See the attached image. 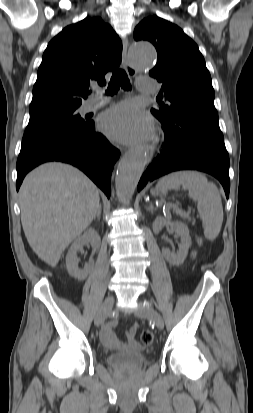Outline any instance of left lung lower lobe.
<instances>
[{"mask_svg": "<svg viewBox=\"0 0 253 413\" xmlns=\"http://www.w3.org/2000/svg\"><path fill=\"white\" fill-rule=\"evenodd\" d=\"M163 124V123H162ZM164 148L144 172L140 191L148 181L178 170H199L216 177L229 197V155L218 120L186 116L163 124Z\"/></svg>", "mask_w": 253, "mask_h": 413, "instance_id": "obj_1", "label": "left lung lower lobe"}]
</instances>
